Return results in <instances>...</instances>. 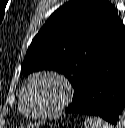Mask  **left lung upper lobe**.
Here are the masks:
<instances>
[{
    "instance_id": "obj_1",
    "label": "left lung upper lobe",
    "mask_w": 125,
    "mask_h": 128,
    "mask_svg": "<svg viewBox=\"0 0 125 128\" xmlns=\"http://www.w3.org/2000/svg\"><path fill=\"white\" fill-rule=\"evenodd\" d=\"M125 31L108 0H71L46 21L29 46L21 73L56 70L74 87L76 102L90 71Z\"/></svg>"
}]
</instances>
